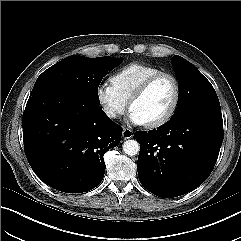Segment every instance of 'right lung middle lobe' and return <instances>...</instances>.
Here are the masks:
<instances>
[{
    "instance_id": "right-lung-middle-lobe-1",
    "label": "right lung middle lobe",
    "mask_w": 241,
    "mask_h": 241,
    "mask_svg": "<svg viewBox=\"0 0 241 241\" xmlns=\"http://www.w3.org/2000/svg\"><path fill=\"white\" fill-rule=\"evenodd\" d=\"M123 58L82 56L67 57L45 70L36 80L31 95L62 90L81 100L99 105L98 86L104 76Z\"/></svg>"
}]
</instances>
